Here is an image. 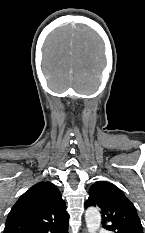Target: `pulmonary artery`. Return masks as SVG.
I'll return each mask as SVG.
<instances>
[{"instance_id": "pulmonary-artery-1", "label": "pulmonary artery", "mask_w": 145, "mask_h": 233, "mask_svg": "<svg viewBox=\"0 0 145 233\" xmlns=\"http://www.w3.org/2000/svg\"><path fill=\"white\" fill-rule=\"evenodd\" d=\"M100 233H110L109 231H100Z\"/></svg>"}]
</instances>
